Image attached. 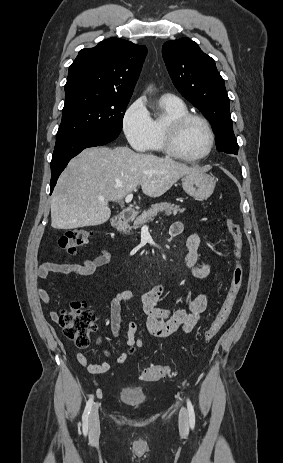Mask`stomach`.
<instances>
[{
    "mask_svg": "<svg viewBox=\"0 0 283 463\" xmlns=\"http://www.w3.org/2000/svg\"><path fill=\"white\" fill-rule=\"evenodd\" d=\"M216 181L214 177L204 173L196 172L185 175L182 178L183 190L196 200H206L214 192Z\"/></svg>",
    "mask_w": 283,
    "mask_h": 463,
    "instance_id": "stomach-1",
    "label": "stomach"
}]
</instances>
